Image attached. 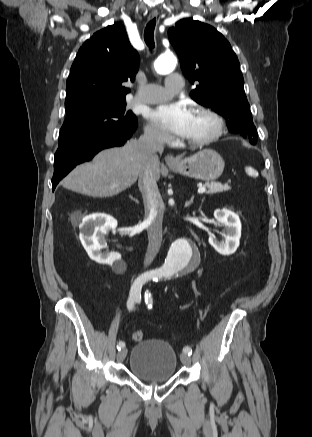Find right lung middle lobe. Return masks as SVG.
Listing matches in <instances>:
<instances>
[{
	"instance_id": "right-lung-middle-lobe-1",
	"label": "right lung middle lobe",
	"mask_w": 312,
	"mask_h": 437,
	"mask_svg": "<svg viewBox=\"0 0 312 437\" xmlns=\"http://www.w3.org/2000/svg\"><path fill=\"white\" fill-rule=\"evenodd\" d=\"M126 102L79 103L65 107L66 120L60 130L58 147L93 135L128 128L137 123L132 112H125Z\"/></svg>"
}]
</instances>
